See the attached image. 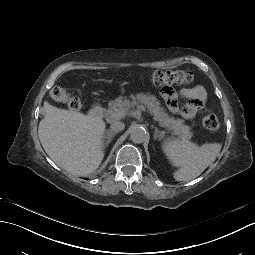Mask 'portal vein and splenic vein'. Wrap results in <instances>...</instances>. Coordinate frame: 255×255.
Masks as SVG:
<instances>
[{
  "label": "portal vein and splenic vein",
  "mask_w": 255,
  "mask_h": 255,
  "mask_svg": "<svg viewBox=\"0 0 255 255\" xmlns=\"http://www.w3.org/2000/svg\"><path fill=\"white\" fill-rule=\"evenodd\" d=\"M136 108L139 112H142V113H147V108L145 106H142V105H136Z\"/></svg>",
  "instance_id": "portal-vein-and-splenic-vein-1"
}]
</instances>
